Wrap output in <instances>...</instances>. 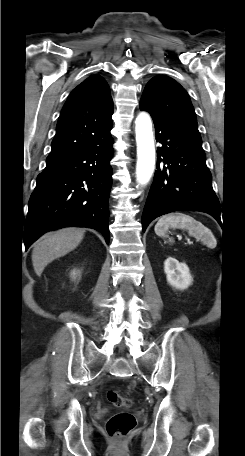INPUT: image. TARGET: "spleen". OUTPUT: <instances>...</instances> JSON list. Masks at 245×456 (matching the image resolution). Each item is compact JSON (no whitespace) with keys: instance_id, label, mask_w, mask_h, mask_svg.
Listing matches in <instances>:
<instances>
[{"instance_id":"3e777b00","label":"spleen","mask_w":245,"mask_h":456,"mask_svg":"<svg viewBox=\"0 0 245 456\" xmlns=\"http://www.w3.org/2000/svg\"><path fill=\"white\" fill-rule=\"evenodd\" d=\"M169 228L187 230L190 236L201 239L209 247L216 246L212 232L201 222L184 213H171L162 216L155 225L154 231L160 237H167ZM170 242H173L170 239Z\"/></svg>"}]
</instances>
